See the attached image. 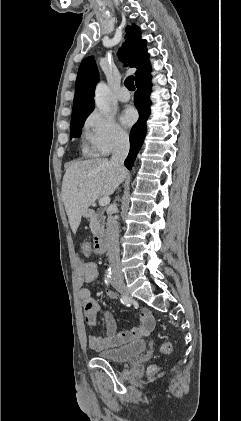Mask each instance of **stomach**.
Wrapping results in <instances>:
<instances>
[{"label": "stomach", "mask_w": 241, "mask_h": 421, "mask_svg": "<svg viewBox=\"0 0 241 421\" xmlns=\"http://www.w3.org/2000/svg\"><path fill=\"white\" fill-rule=\"evenodd\" d=\"M83 216H84V217H86V218H87V217H89V216H90V212H89V211H85V212L83 213Z\"/></svg>", "instance_id": "obj_1"}]
</instances>
